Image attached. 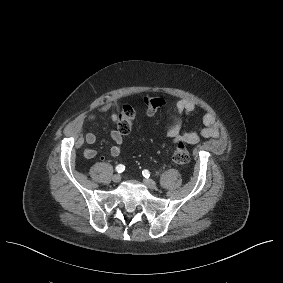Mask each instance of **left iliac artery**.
Masks as SVG:
<instances>
[{
    "instance_id": "obj_1",
    "label": "left iliac artery",
    "mask_w": 283,
    "mask_h": 283,
    "mask_svg": "<svg viewBox=\"0 0 283 283\" xmlns=\"http://www.w3.org/2000/svg\"><path fill=\"white\" fill-rule=\"evenodd\" d=\"M142 174H143V176H144L145 178H149V176H150V173H149L148 170H143V171H142Z\"/></svg>"
}]
</instances>
